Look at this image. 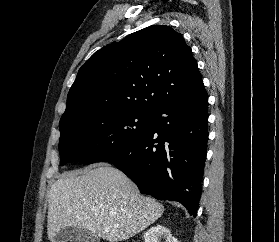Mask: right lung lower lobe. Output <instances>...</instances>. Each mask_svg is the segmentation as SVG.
I'll return each mask as SVG.
<instances>
[{"label":"right lung lower lobe","mask_w":279,"mask_h":242,"mask_svg":"<svg viewBox=\"0 0 279 242\" xmlns=\"http://www.w3.org/2000/svg\"><path fill=\"white\" fill-rule=\"evenodd\" d=\"M208 135V97L203 88L156 110L142 138L102 161L123 171L142 194L178 201L195 217Z\"/></svg>","instance_id":"1"}]
</instances>
